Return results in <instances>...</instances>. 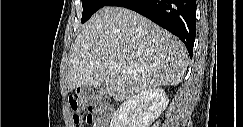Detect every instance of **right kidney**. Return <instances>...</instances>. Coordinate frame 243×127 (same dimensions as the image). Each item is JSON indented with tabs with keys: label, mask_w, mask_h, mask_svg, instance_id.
I'll list each match as a JSON object with an SVG mask.
<instances>
[{
	"label": "right kidney",
	"mask_w": 243,
	"mask_h": 127,
	"mask_svg": "<svg viewBox=\"0 0 243 127\" xmlns=\"http://www.w3.org/2000/svg\"><path fill=\"white\" fill-rule=\"evenodd\" d=\"M169 100L161 88L138 93L123 102L114 113L110 127H149L166 109Z\"/></svg>",
	"instance_id": "1"
}]
</instances>
